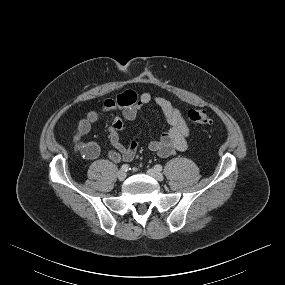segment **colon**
Returning a JSON list of instances; mask_svg holds the SVG:
<instances>
[{"label":"colon","mask_w":285,"mask_h":285,"mask_svg":"<svg viewBox=\"0 0 285 285\" xmlns=\"http://www.w3.org/2000/svg\"><path fill=\"white\" fill-rule=\"evenodd\" d=\"M187 116L190 121L196 124L206 125L211 123L209 114L204 110H190Z\"/></svg>","instance_id":"1"}]
</instances>
